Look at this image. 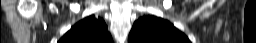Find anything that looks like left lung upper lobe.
Instances as JSON below:
<instances>
[{"label":"left lung upper lobe","instance_id":"left-lung-upper-lobe-1","mask_svg":"<svg viewBox=\"0 0 256 43\" xmlns=\"http://www.w3.org/2000/svg\"><path fill=\"white\" fill-rule=\"evenodd\" d=\"M128 43H191L169 21L156 16L139 18L132 27Z\"/></svg>","mask_w":256,"mask_h":43}]
</instances>
